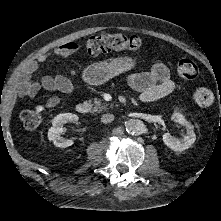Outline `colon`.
<instances>
[{
	"mask_svg": "<svg viewBox=\"0 0 221 221\" xmlns=\"http://www.w3.org/2000/svg\"><path fill=\"white\" fill-rule=\"evenodd\" d=\"M143 47V42L136 36L123 34L103 33L91 37L85 44L84 49L88 55H101L113 51H138ZM177 73L184 80H193L199 74L197 64L190 59H182L177 64ZM195 102L201 106L211 105L214 101L213 93L206 88H197L193 92ZM44 117V109L37 107L25 110L21 113V121L26 128L38 127Z\"/></svg>",
	"mask_w": 221,
	"mask_h": 221,
	"instance_id": "colon-1",
	"label": "colon"
}]
</instances>
